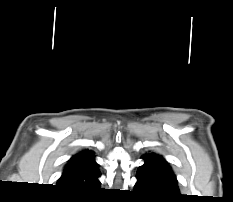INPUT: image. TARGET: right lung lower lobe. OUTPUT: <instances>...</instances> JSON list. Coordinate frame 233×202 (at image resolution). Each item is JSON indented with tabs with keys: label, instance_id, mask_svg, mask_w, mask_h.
Returning a JSON list of instances; mask_svg holds the SVG:
<instances>
[{
	"label": "right lung lower lobe",
	"instance_id": "98d812e1",
	"mask_svg": "<svg viewBox=\"0 0 233 202\" xmlns=\"http://www.w3.org/2000/svg\"><path fill=\"white\" fill-rule=\"evenodd\" d=\"M98 190H99V187L96 188L95 190L89 192V193H84V194H82V195H84V196H92V195H94L95 193H97Z\"/></svg>",
	"mask_w": 233,
	"mask_h": 202
}]
</instances>
